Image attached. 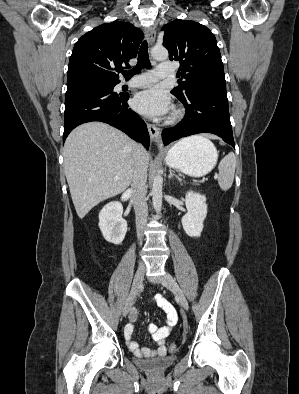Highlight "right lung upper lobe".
<instances>
[{
  "label": "right lung upper lobe",
  "mask_w": 299,
  "mask_h": 394,
  "mask_svg": "<svg viewBox=\"0 0 299 394\" xmlns=\"http://www.w3.org/2000/svg\"><path fill=\"white\" fill-rule=\"evenodd\" d=\"M143 32L131 23L114 21L84 34L70 57L67 88L93 83L119 82L123 65L135 58Z\"/></svg>",
  "instance_id": "cb5924a9"
}]
</instances>
